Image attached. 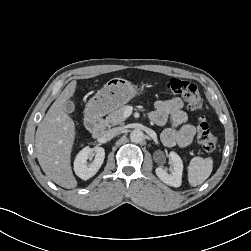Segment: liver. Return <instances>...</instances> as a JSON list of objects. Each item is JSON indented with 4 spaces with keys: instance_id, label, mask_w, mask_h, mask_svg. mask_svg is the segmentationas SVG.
Instances as JSON below:
<instances>
[{
    "instance_id": "liver-1",
    "label": "liver",
    "mask_w": 251,
    "mask_h": 251,
    "mask_svg": "<svg viewBox=\"0 0 251 251\" xmlns=\"http://www.w3.org/2000/svg\"><path fill=\"white\" fill-rule=\"evenodd\" d=\"M76 86L74 80L65 87L39 123L35 135V151L42 170L50 180L67 189L77 186L71 168L76 131L64 103L74 95Z\"/></svg>"
}]
</instances>
